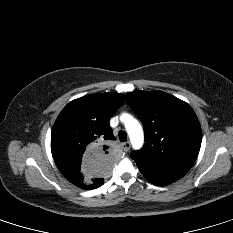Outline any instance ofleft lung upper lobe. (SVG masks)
Here are the masks:
<instances>
[{"label":"left lung upper lobe","instance_id":"5c2ea615","mask_svg":"<svg viewBox=\"0 0 233 233\" xmlns=\"http://www.w3.org/2000/svg\"><path fill=\"white\" fill-rule=\"evenodd\" d=\"M127 101L141 119L145 144L131 153L135 161L158 167L190 169L201 146L202 132L193 109L162 91H133Z\"/></svg>","mask_w":233,"mask_h":233}]
</instances>
